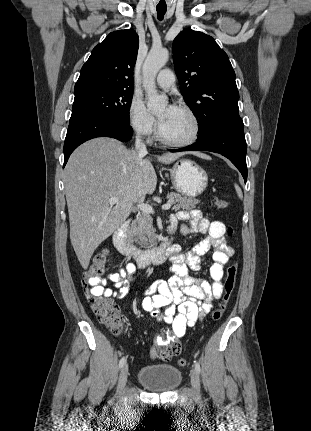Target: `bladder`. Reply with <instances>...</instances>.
Here are the masks:
<instances>
[{
  "label": "bladder",
  "mask_w": 311,
  "mask_h": 431,
  "mask_svg": "<svg viewBox=\"0 0 311 431\" xmlns=\"http://www.w3.org/2000/svg\"><path fill=\"white\" fill-rule=\"evenodd\" d=\"M137 380L148 390L160 393L170 392L180 385L182 372L171 364H149L139 369Z\"/></svg>",
  "instance_id": "31cf9c89"
}]
</instances>
